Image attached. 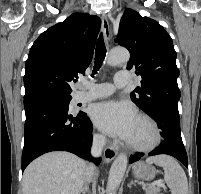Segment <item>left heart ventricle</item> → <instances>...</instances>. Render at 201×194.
Listing matches in <instances>:
<instances>
[{
	"label": "left heart ventricle",
	"instance_id": "1",
	"mask_svg": "<svg viewBox=\"0 0 201 194\" xmlns=\"http://www.w3.org/2000/svg\"><path fill=\"white\" fill-rule=\"evenodd\" d=\"M152 138V133L147 124L137 119L132 136L129 142L145 144Z\"/></svg>",
	"mask_w": 201,
	"mask_h": 194
}]
</instances>
